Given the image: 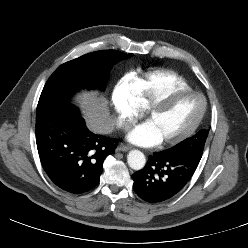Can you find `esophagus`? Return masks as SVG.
I'll return each instance as SVG.
<instances>
[{
  "label": "esophagus",
  "instance_id": "1",
  "mask_svg": "<svg viewBox=\"0 0 248 248\" xmlns=\"http://www.w3.org/2000/svg\"><path fill=\"white\" fill-rule=\"evenodd\" d=\"M130 149V146L124 145V144H120L116 150L117 151H128Z\"/></svg>",
  "mask_w": 248,
  "mask_h": 248
}]
</instances>
